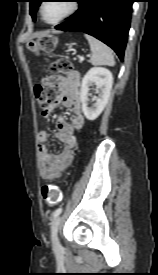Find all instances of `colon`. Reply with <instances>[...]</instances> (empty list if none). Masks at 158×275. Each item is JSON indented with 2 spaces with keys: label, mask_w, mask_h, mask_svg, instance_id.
<instances>
[{
  "label": "colon",
  "mask_w": 158,
  "mask_h": 275,
  "mask_svg": "<svg viewBox=\"0 0 158 275\" xmlns=\"http://www.w3.org/2000/svg\"><path fill=\"white\" fill-rule=\"evenodd\" d=\"M56 47L57 38L53 34L42 35L28 43V49L34 54L50 53L54 51ZM70 69L71 63L69 60L64 58L54 61L50 66V70L53 73H63L69 71ZM35 94L42 114L49 113L55 102V93L48 90L43 85H37L35 88ZM41 196L43 201L50 206L59 204L62 199L60 188L51 183H45L42 185Z\"/></svg>",
  "instance_id": "colon-1"
}]
</instances>
